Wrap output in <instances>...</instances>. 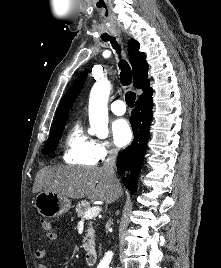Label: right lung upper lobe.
I'll use <instances>...</instances> for the list:
<instances>
[{"label": "right lung upper lobe", "mask_w": 221, "mask_h": 268, "mask_svg": "<svg viewBox=\"0 0 221 268\" xmlns=\"http://www.w3.org/2000/svg\"><path fill=\"white\" fill-rule=\"evenodd\" d=\"M140 44L131 39L128 43L129 60L133 69L134 87L143 90V94L139 99L146 98L152 94V88L150 87L148 80V64L146 62V56L143 52L139 51ZM87 77V71L82 72L75 83L61 99L59 107L57 109L53 127L65 123L68 118V113L72 107V103L78 97L84 82Z\"/></svg>", "instance_id": "right-lung-upper-lobe-1"}]
</instances>
